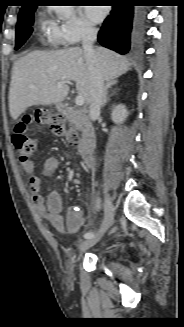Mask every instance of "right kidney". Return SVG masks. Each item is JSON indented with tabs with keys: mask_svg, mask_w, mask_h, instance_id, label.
Wrapping results in <instances>:
<instances>
[{
	"mask_svg": "<svg viewBox=\"0 0 184 327\" xmlns=\"http://www.w3.org/2000/svg\"><path fill=\"white\" fill-rule=\"evenodd\" d=\"M128 116L127 109L124 105L119 104L114 107L111 114V119L114 123H122Z\"/></svg>",
	"mask_w": 184,
	"mask_h": 327,
	"instance_id": "obj_1",
	"label": "right kidney"
}]
</instances>
